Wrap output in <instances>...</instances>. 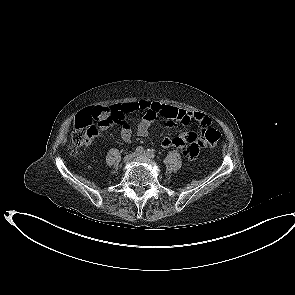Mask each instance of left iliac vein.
I'll return each instance as SVG.
<instances>
[{"instance_id":"1","label":"left iliac vein","mask_w":295,"mask_h":295,"mask_svg":"<svg viewBox=\"0 0 295 295\" xmlns=\"http://www.w3.org/2000/svg\"><path fill=\"white\" fill-rule=\"evenodd\" d=\"M137 157L140 159V160H150V156L147 154V153H141V154H138Z\"/></svg>"}]
</instances>
